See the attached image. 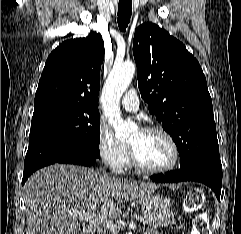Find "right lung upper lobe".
<instances>
[{
    "mask_svg": "<svg viewBox=\"0 0 241 234\" xmlns=\"http://www.w3.org/2000/svg\"><path fill=\"white\" fill-rule=\"evenodd\" d=\"M103 59L100 34L90 33L60 44L45 63L34 106L68 103L97 107Z\"/></svg>",
    "mask_w": 241,
    "mask_h": 234,
    "instance_id": "1",
    "label": "right lung upper lobe"
}]
</instances>
